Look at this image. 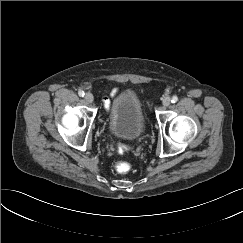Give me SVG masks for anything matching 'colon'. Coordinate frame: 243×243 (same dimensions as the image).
<instances>
[{"label":"colon","mask_w":243,"mask_h":243,"mask_svg":"<svg viewBox=\"0 0 243 243\" xmlns=\"http://www.w3.org/2000/svg\"><path fill=\"white\" fill-rule=\"evenodd\" d=\"M126 150V147L122 144H119L118 151L123 153ZM116 171L119 173H127L131 169V165L127 162H119L115 166Z\"/></svg>","instance_id":"colon-1"}]
</instances>
